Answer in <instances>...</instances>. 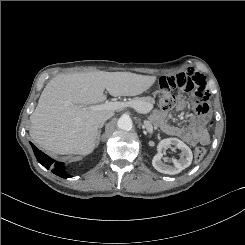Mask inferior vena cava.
Wrapping results in <instances>:
<instances>
[{
    "label": "inferior vena cava",
    "instance_id": "602c4592",
    "mask_svg": "<svg viewBox=\"0 0 245 245\" xmlns=\"http://www.w3.org/2000/svg\"><path fill=\"white\" fill-rule=\"evenodd\" d=\"M112 116H113V113H109V114L105 115V116L103 117L102 121H101V125L104 124V122H105L106 120H108L109 118H111ZM101 125H100V126H101Z\"/></svg>",
    "mask_w": 245,
    "mask_h": 245
}]
</instances>
